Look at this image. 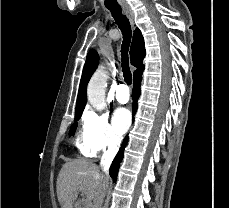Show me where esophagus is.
<instances>
[{"label":"esophagus","mask_w":229,"mask_h":208,"mask_svg":"<svg viewBox=\"0 0 229 208\" xmlns=\"http://www.w3.org/2000/svg\"><path fill=\"white\" fill-rule=\"evenodd\" d=\"M123 11H124L126 17L129 19L131 25H133L134 24V14H133L131 8L128 6L127 7L124 6Z\"/></svg>","instance_id":"34e87169"}]
</instances>
